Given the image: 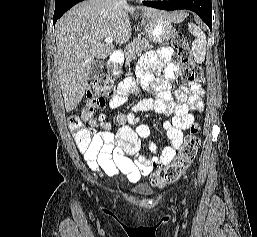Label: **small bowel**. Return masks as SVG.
Returning a JSON list of instances; mask_svg holds the SVG:
<instances>
[{
    "mask_svg": "<svg viewBox=\"0 0 257 237\" xmlns=\"http://www.w3.org/2000/svg\"><path fill=\"white\" fill-rule=\"evenodd\" d=\"M172 51L162 47L158 51L147 52L140 61L137 78H124L109 100L111 109L122 107L131 93L139 88L155 94V98H144L135 103L128 113L115 116L118 126L116 134L105 132L93 134L92 129L86 131L92 136L87 148H83L74 136L79 151L92 172L102 177L123 174L132 182L149 175L154 168L170 163L183 143V135L195 121L196 111L203 108L204 91L198 84L182 83L174 94L170 91V81L174 80L178 71L177 65L171 63ZM151 68L163 71L162 79H154ZM102 103L98 106H104ZM136 112H155L172 116L162 123L170 143L157 149L153 142L149 148L153 155L149 158L140 153L141 140L148 138L150 129L135 117ZM81 118L91 128H97L93 109L86 106L81 111ZM128 124L136 125L131 128Z\"/></svg>",
    "mask_w": 257,
    "mask_h": 237,
    "instance_id": "1",
    "label": "small bowel"
}]
</instances>
